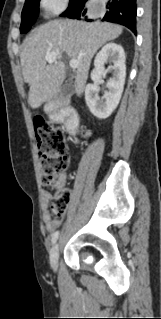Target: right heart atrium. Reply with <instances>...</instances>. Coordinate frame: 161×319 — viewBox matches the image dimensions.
I'll return each instance as SVG.
<instances>
[{
	"mask_svg": "<svg viewBox=\"0 0 161 319\" xmlns=\"http://www.w3.org/2000/svg\"><path fill=\"white\" fill-rule=\"evenodd\" d=\"M69 0H40V5L47 16L61 13L68 5Z\"/></svg>",
	"mask_w": 161,
	"mask_h": 319,
	"instance_id": "right-heart-atrium-1",
	"label": "right heart atrium"
}]
</instances>
